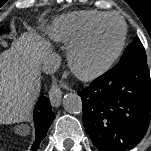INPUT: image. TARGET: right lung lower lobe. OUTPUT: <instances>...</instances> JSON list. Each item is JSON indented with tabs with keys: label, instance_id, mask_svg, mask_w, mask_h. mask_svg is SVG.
Returning a JSON list of instances; mask_svg holds the SVG:
<instances>
[{
	"label": "right lung lower lobe",
	"instance_id": "right-lung-lower-lobe-1",
	"mask_svg": "<svg viewBox=\"0 0 151 151\" xmlns=\"http://www.w3.org/2000/svg\"><path fill=\"white\" fill-rule=\"evenodd\" d=\"M55 115L51 110V105L47 97L41 94L39 101L34 109V124L36 131V140L31 148V151H36L39 148L40 142L47 134Z\"/></svg>",
	"mask_w": 151,
	"mask_h": 151
}]
</instances>
